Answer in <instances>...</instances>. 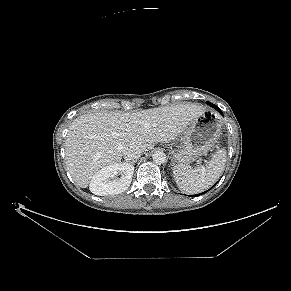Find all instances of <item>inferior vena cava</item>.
<instances>
[{
	"instance_id": "602c4592",
	"label": "inferior vena cava",
	"mask_w": 291,
	"mask_h": 291,
	"mask_svg": "<svg viewBox=\"0 0 291 291\" xmlns=\"http://www.w3.org/2000/svg\"><path fill=\"white\" fill-rule=\"evenodd\" d=\"M141 149L135 146H130L124 149L123 156L124 159L128 162H133L140 158L141 156Z\"/></svg>"
}]
</instances>
